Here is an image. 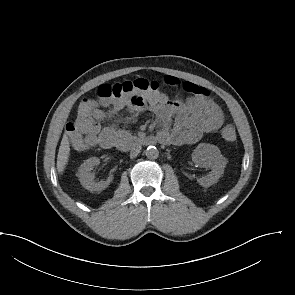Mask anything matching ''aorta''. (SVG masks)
Masks as SVG:
<instances>
[{"label": "aorta", "mask_w": 295, "mask_h": 295, "mask_svg": "<svg viewBox=\"0 0 295 295\" xmlns=\"http://www.w3.org/2000/svg\"><path fill=\"white\" fill-rule=\"evenodd\" d=\"M145 155L149 159H156L159 156V151L155 146H149L145 151Z\"/></svg>", "instance_id": "1"}]
</instances>
